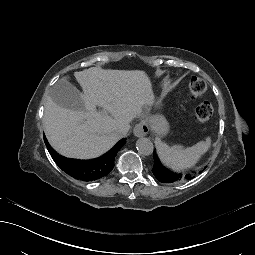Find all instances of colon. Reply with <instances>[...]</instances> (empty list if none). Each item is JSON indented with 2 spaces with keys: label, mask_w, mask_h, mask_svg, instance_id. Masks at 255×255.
I'll list each match as a JSON object with an SVG mask.
<instances>
[{
  "label": "colon",
  "mask_w": 255,
  "mask_h": 255,
  "mask_svg": "<svg viewBox=\"0 0 255 255\" xmlns=\"http://www.w3.org/2000/svg\"><path fill=\"white\" fill-rule=\"evenodd\" d=\"M189 90L193 96H201L207 90L205 80L199 77H193L189 82ZM213 114V106L210 102L200 103L195 110V117L199 122H207Z\"/></svg>",
  "instance_id": "obj_1"
}]
</instances>
